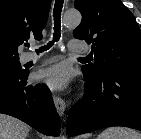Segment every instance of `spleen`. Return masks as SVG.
<instances>
[{
  "label": "spleen",
  "instance_id": "obj_1",
  "mask_svg": "<svg viewBox=\"0 0 141 139\" xmlns=\"http://www.w3.org/2000/svg\"><path fill=\"white\" fill-rule=\"evenodd\" d=\"M97 139H141V134L125 127H110L99 134Z\"/></svg>",
  "mask_w": 141,
  "mask_h": 139
}]
</instances>
